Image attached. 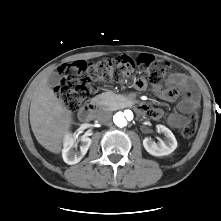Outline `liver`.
I'll list each match as a JSON object with an SVG mask.
<instances>
[{
  "instance_id": "1",
  "label": "liver",
  "mask_w": 221,
  "mask_h": 221,
  "mask_svg": "<svg viewBox=\"0 0 221 221\" xmlns=\"http://www.w3.org/2000/svg\"><path fill=\"white\" fill-rule=\"evenodd\" d=\"M72 122V112L57 98L45 76L36 86L30 105V124L36 140L58 154Z\"/></svg>"
}]
</instances>
